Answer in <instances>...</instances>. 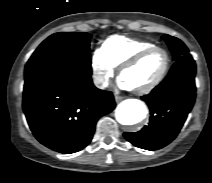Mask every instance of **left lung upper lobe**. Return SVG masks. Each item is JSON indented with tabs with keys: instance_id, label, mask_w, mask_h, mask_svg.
Listing matches in <instances>:
<instances>
[{
	"instance_id": "1",
	"label": "left lung upper lobe",
	"mask_w": 212,
	"mask_h": 183,
	"mask_svg": "<svg viewBox=\"0 0 212 183\" xmlns=\"http://www.w3.org/2000/svg\"><path fill=\"white\" fill-rule=\"evenodd\" d=\"M162 38L166 41V43L170 47V50L173 54V58L175 61L178 60L181 56L188 54L187 47L178 38H175L167 34L163 35Z\"/></svg>"
}]
</instances>
